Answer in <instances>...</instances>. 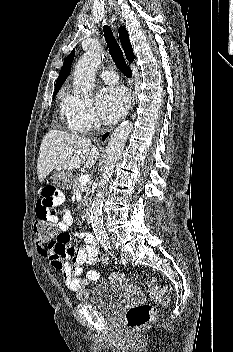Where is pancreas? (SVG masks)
<instances>
[{"label":"pancreas","instance_id":"obj_1","mask_svg":"<svg viewBox=\"0 0 233 352\" xmlns=\"http://www.w3.org/2000/svg\"><path fill=\"white\" fill-rule=\"evenodd\" d=\"M72 188H73L74 192L76 190H78L79 188H81V192L84 193L83 200L80 202L79 207L83 208L84 206H88V201L90 199L89 196L91 193L90 184H87L85 186H81V184L79 182V176L77 175L72 181Z\"/></svg>","mask_w":233,"mask_h":352}]
</instances>
